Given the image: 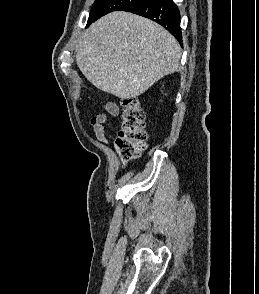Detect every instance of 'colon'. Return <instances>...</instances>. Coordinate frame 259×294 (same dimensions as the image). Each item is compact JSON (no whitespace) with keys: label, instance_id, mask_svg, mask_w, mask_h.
Masks as SVG:
<instances>
[{"label":"colon","instance_id":"5ec220e1","mask_svg":"<svg viewBox=\"0 0 259 294\" xmlns=\"http://www.w3.org/2000/svg\"><path fill=\"white\" fill-rule=\"evenodd\" d=\"M121 127L116 141L124 160L136 158L146 148L145 114L135 97L122 100Z\"/></svg>","mask_w":259,"mask_h":294}]
</instances>
